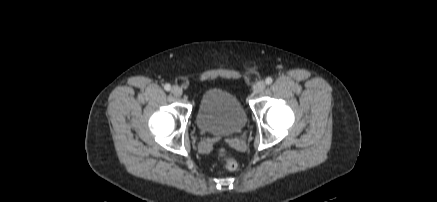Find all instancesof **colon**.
<instances>
[{
    "mask_svg": "<svg viewBox=\"0 0 437 202\" xmlns=\"http://www.w3.org/2000/svg\"><path fill=\"white\" fill-rule=\"evenodd\" d=\"M217 155L228 170H236L238 168L237 160L224 147L219 148Z\"/></svg>",
    "mask_w": 437,
    "mask_h": 202,
    "instance_id": "obj_1",
    "label": "colon"
}]
</instances>
